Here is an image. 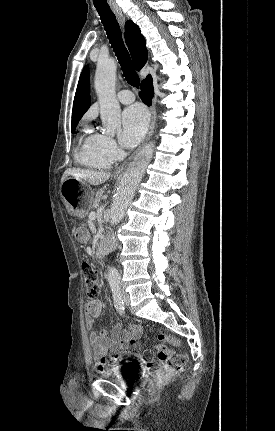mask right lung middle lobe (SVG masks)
<instances>
[{
	"mask_svg": "<svg viewBox=\"0 0 275 431\" xmlns=\"http://www.w3.org/2000/svg\"><path fill=\"white\" fill-rule=\"evenodd\" d=\"M76 129V126H72V132H74Z\"/></svg>",
	"mask_w": 275,
	"mask_h": 431,
	"instance_id": "dd1d6c3e",
	"label": "right lung middle lobe"
}]
</instances>
